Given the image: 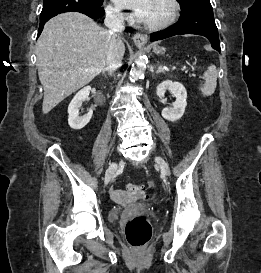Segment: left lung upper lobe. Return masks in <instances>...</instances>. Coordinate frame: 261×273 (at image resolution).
I'll use <instances>...</instances> for the list:
<instances>
[{
	"label": "left lung upper lobe",
	"instance_id": "obj_1",
	"mask_svg": "<svg viewBox=\"0 0 261 273\" xmlns=\"http://www.w3.org/2000/svg\"><path fill=\"white\" fill-rule=\"evenodd\" d=\"M191 1H193V0H178V2L180 3L181 6H184V5L188 4Z\"/></svg>",
	"mask_w": 261,
	"mask_h": 273
}]
</instances>
